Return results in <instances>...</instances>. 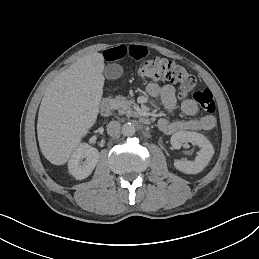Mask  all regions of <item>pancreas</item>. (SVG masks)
Segmentation results:
<instances>
[{"label":"pancreas","mask_w":259,"mask_h":259,"mask_svg":"<svg viewBox=\"0 0 259 259\" xmlns=\"http://www.w3.org/2000/svg\"><path fill=\"white\" fill-rule=\"evenodd\" d=\"M115 103L118 106V112L119 114L123 115L125 114L127 117H139V113L132 110L131 106L134 103V100H127L126 97L123 96H117L115 98Z\"/></svg>","instance_id":"cf45deb5"}]
</instances>
